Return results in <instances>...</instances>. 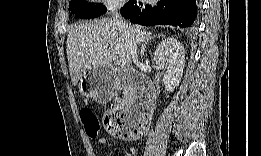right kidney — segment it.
<instances>
[{
    "mask_svg": "<svg viewBox=\"0 0 261 156\" xmlns=\"http://www.w3.org/2000/svg\"><path fill=\"white\" fill-rule=\"evenodd\" d=\"M153 60L156 65L167 69L163 83L167 92H173L179 85L185 68L183 45L173 37L164 39L158 45Z\"/></svg>",
    "mask_w": 261,
    "mask_h": 156,
    "instance_id": "ca27d5eb",
    "label": "right kidney"
}]
</instances>
